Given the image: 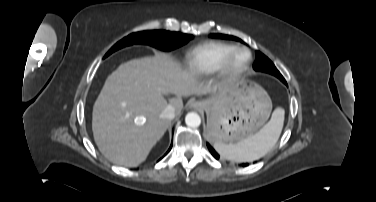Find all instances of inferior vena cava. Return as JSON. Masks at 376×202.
I'll return each instance as SVG.
<instances>
[{
    "label": "inferior vena cava",
    "instance_id": "602c4592",
    "mask_svg": "<svg viewBox=\"0 0 376 202\" xmlns=\"http://www.w3.org/2000/svg\"><path fill=\"white\" fill-rule=\"evenodd\" d=\"M163 119L172 120L175 117V109L172 105H168L160 114Z\"/></svg>",
    "mask_w": 376,
    "mask_h": 202
}]
</instances>
